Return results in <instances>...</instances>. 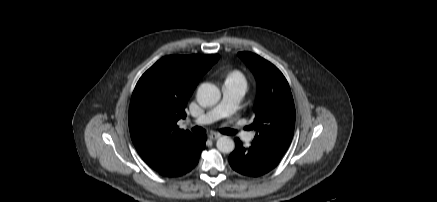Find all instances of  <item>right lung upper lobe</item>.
Segmentation results:
<instances>
[{
    "instance_id": "1",
    "label": "right lung upper lobe",
    "mask_w": 437,
    "mask_h": 202,
    "mask_svg": "<svg viewBox=\"0 0 437 202\" xmlns=\"http://www.w3.org/2000/svg\"><path fill=\"white\" fill-rule=\"evenodd\" d=\"M219 55H170L158 60L139 79L129 114L132 142L153 169L180 154L195 136L178 129L187 102L200 78Z\"/></svg>"
}]
</instances>
